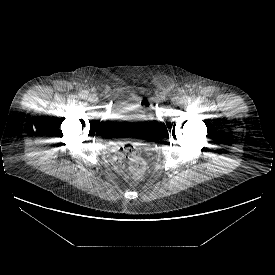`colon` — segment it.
<instances>
[{
    "instance_id": "colon-1",
    "label": "colon",
    "mask_w": 275,
    "mask_h": 275,
    "mask_svg": "<svg viewBox=\"0 0 275 275\" xmlns=\"http://www.w3.org/2000/svg\"><path fill=\"white\" fill-rule=\"evenodd\" d=\"M146 106H149L148 102H146ZM122 161H127L129 165L128 175L132 179H137L145 169V161L138 148L133 145L128 144L120 149L116 162L120 165Z\"/></svg>"
}]
</instances>
